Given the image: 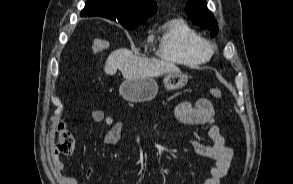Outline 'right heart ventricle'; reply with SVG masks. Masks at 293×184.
Here are the masks:
<instances>
[{
	"label": "right heart ventricle",
	"instance_id": "obj_1",
	"mask_svg": "<svg viewBox=\"0 0 293 184\" xmlns=\"http://www.w3.org/2000/svg\"><path fill=\"white\" fill-rule=\"evenodd\" d=\"M204 38L181 18H173L159 28L157 56L184 66H198L209 59Z\"/></svg>",
	"mask_w": 293,
	"mask_h": 184
}]
</instances>
